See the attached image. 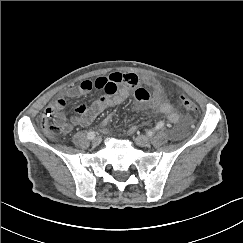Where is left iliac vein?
<instances>
[{
    "label": "left iliac vein",
    "instance_id": "4c4485c4",
    "mask_svg": "<svg viewBox=\"0 0 243 243\" xmlns=\"http://www.w3.org/2000/svg\"><path fill=\"white\" fill-rule=\"evenodd\" d=\"M135 142H136L137 145H139L141 147H148V146L151 145V140L144 135L136 136Z\"/></svg>",
    "mask_w": 243,
    "mask_h": 243
}]
</instances>
